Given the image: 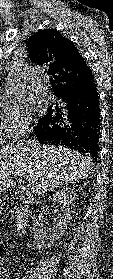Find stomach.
<instances>
[{"mask_svg": "<svg viewBox=\"0 0 113 279\" xmlns=\"http://www.w3.org/2000/svg\"><path fill=\"white\" fill-rule=\"evenodd\" d=\"M2 207V200H1V198H0V208Z\"/></svg>", "mask_w": 113, "mask_h": 279, "instance_id": "obj_1", "label": "stomach"}]
</instances>
